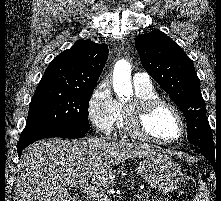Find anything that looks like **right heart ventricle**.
<instances>
[{"label": "right heart ventricle", "instance_id": "obj_1", "mask_svg": "<svg viewBox=\"0 0 221 201\" xmlns=\"http://www.w3.org/2000/svg\"><path fill=\"white\" fill-rule=\"evenodd\" d=\"M135 93H136V99H147V98L159 97L157 91L152 85H148V86H136L135 85ZM118 104H119V116L117 120V125L120 130L125 131V127H124L125 104L121 102H118Z\"/></svg>", "mask_w": 221, "mask_h": 201}]
</instances>
